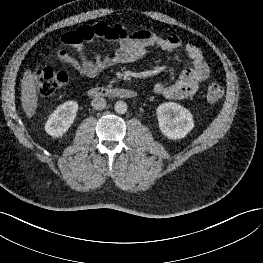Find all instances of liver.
<instances>
[{"label": "liver", "instance_id": "1", "mask_svg": "<svg viewBox=\"0 0 263 263\" xmlns=\"http://www.w3.org/2000/svg\"><path fill=\"white\" fill-rule=\"evenodd\" d=\"M35 81L36 76L30 69L26 70L21 84V103L25 114L29 118L35 114L38 105Z\"/></svg>", "mask_w": 263, "mask_h": 263}]
</instances>
